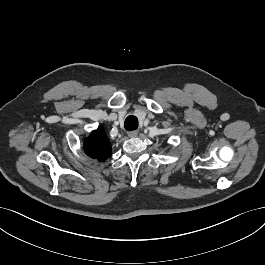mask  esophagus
Listing matches in <instances>:
<instances>
[{
	"label": "esophagus",
	"mask_w": 265,
	"mask_h": 265,
	"mask_svg": "<svg viewBox=\"0 0 265 265\" xmlns=\"http://www.w3.org/2000/svg\"><path fill=\"white\" fill-rule=\"evenodd\" d=\"M137 135H138V132L137 131H130L129 133H128V136L130 137V138H135V137H137Z\"/></svg>",
	"instance_id": "34e87169"
}]
</instances>
